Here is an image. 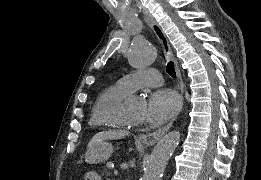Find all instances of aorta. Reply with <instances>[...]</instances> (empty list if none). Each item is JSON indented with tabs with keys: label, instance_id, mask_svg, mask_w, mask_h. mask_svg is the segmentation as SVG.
<instances>
[{
	"label": "aorta",
	"instance_id": "obj_1",
	"mask_svg": "<svg viewBox=\"0 0 261 180\" xmlns=\"http://www.w3.org/2000/svg\"><path fill=\"white\" fill-rule=\"evenodd\" d=\"M157 57L156 48L147 41H135L128 54L132 67L143 68L152 64ZM180 140L178 131L166 134L154 147L145 164L143 180H161L166 165Z\"/></svg>",
	"mask_w": 261,
	"mask_h": 180
}]
</instances>
